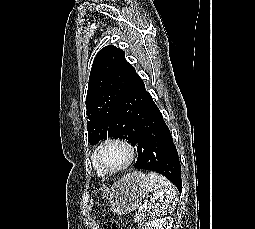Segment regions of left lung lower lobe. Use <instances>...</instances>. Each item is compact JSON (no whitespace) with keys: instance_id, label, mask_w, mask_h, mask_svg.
<instances>
[{"instance_id":"1","label":"left lung lower lobe","mask_w":255,"mask_h":229,"mask_svg":"<svg viewBox=\"0 0 255 229\" xmlns=\"http://www.w3.org/2000/svg\"><path fill=\"white\" fill-rule=\"evenodd\" d=\"M123 130L133 138L138 159L134 167L156 171L182 191L181 166L177 149L159 108L146 91L138 74L118 113Z\"/></svg>"}]
</instances>
